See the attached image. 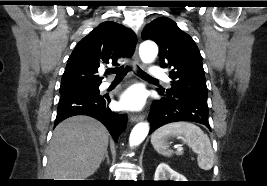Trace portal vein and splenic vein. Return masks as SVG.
Returning a JSON list of instances; mask_svg holds the SVG:
<instances>
[{
  "label": "portal vein and splenic vein",
  "instance_id": "obj_1",
  "mask_svg": "<svg viewBox=\"0 0 267 186\" xmlns=\"http://www.w3.org/2000/svg\"><path fill=\"white\" fill-rule=\"evenodd\" d=\"M176 148H177V152H179V153L183 150V148L180 146H177Z\"/></svg>",
  "mask_w": 267,
  "mask_h": 186
}]
</instances>
